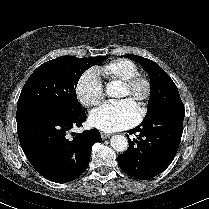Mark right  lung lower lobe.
Returning a JSON list of instances; mask_svg holds the SVG:
<instances>
[{"mask_svg": "<svg viewBox=\"0 0 209 209\" xmlns=\"http://www.w3.org/2000/svg\"><path fill=\"white\" fill-rule=\"evenodd\" d=\"M86 120L83 110L50 111L17 124L20 145L35 170L50 181L65 183L76 179L87 168L92 145L101 142L97 129L72 133Z\"/></svg>", "mask_w": 209, "mask_h": 209, "instance_id": "obj_1", "label": "right lung lower lobe"}]
</instances>
